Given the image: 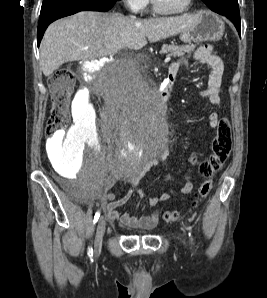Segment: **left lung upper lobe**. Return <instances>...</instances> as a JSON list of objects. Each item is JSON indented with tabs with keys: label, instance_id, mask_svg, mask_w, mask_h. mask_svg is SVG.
Listing matches in <instances>:
<instances>
[{
	"label": "left lung upper lobe",
	"instance_id": "1",
	"mask_svg": "<svg viewBox=\"0 0 267 298\" xmlns=\"http://www.w3.org/2000/svg\"><path fill=\"white\" fill-rule=\"evenodd\" d=\"M212 11H225L231 6L238 7V0H202Z\"/></svg>",
	"mask_w": 267,
	"mask_h": 298
}]
</instances>
